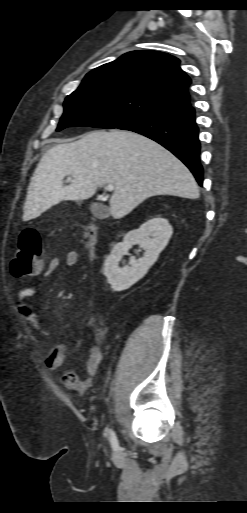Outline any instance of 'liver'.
I'll use <instances>...</instances> for the list:
<instances>
[{
    "instance_id": "liver-1",
    "label": "liver",
    "mask_w": 247,
    "mask_h": 513,
    "mask_svg": "<svg viewBox=\"0 0 247 513\" xmlns=\"http://www.w3.org/2000/svg\"><path fill=\"white\" fill-rule=\"evenodd\" d=\"M68 175L73 179L65 186ZM106 184L114 185L109 201L114 219L157 195L199 198L189 169L159 143L131 131L98 130L42 156L28 187L24 217L36 218L62 200L89 199Z\"/></svg>"
}]
</instances>
